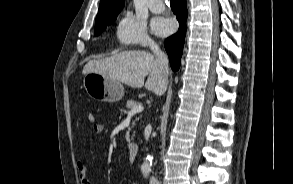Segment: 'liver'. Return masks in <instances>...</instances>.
I'll return each instance as SVG.
<instances>
[{
    "label": "liver",
    "instance_id": "obj_1",
    "mask_svg": "<svg viewBox=\"0 0 293 184\" xmlns=\"http://www.w3.org/2000/svg\"><path fill=\"white\" fill-rule=\"evenodd\" d=\"M99 73L131 86L142 88L145 77L148 79L145 88L161 95L163 88L156 58L146 51H123L111 57L90 60L83 68V74Z\"/></svg>",
    "mask_w": 293,
    "mask_h": 184
}]
</instances>
